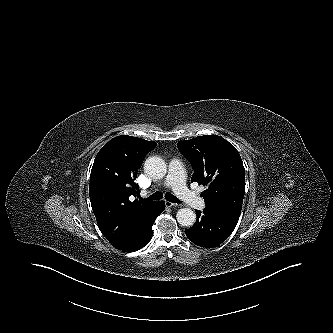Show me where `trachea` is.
<instances>
[{
    "mask_svg": "<svg viewBox=\"0 0 333 333\" xmlns=\"http://www.w3.org/2000/svg\"><path fill=\"white\" fill-rule=\"evenodd\" d=\"M163 194L160 192H156L154 194H152L151 196H149L147 199L148 200H160L162 199ZM165 199L172 202V203H180L179 199L175 196H173L171 193H167L165 195Z\"/></svg>",
    "mask_w": 333,
    "mask_h": 333,
    "instance_id": "1",
    "label": "trachea"
}]
</instances>
